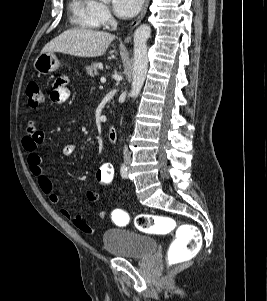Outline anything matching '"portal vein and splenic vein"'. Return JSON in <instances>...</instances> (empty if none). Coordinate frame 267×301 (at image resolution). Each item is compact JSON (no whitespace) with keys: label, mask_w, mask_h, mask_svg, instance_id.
Segmentation results:
<instances>
[{"label":"portal vein and splenic vein","mask_w":267,"mask_h":301,"mask_svg":"<svg viewBox=\"0 0 267 301\" xmlns=\"http://www.w3.org/2000/svg\"><path fill=\"white\" fill-rule=\"evenodd\" d=\"M100 81H101L102 83H105V82H106V78H105V77H101Z\"/></svg>","instance_id":"obj_1"}]
</instances>
